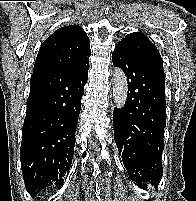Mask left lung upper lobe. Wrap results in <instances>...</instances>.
I'll return each instance as SVG.
<instances>
[{
    "label": "left lung upper lobe",
    "instance_id": "1",
    "mask_svg": "<svg viewBox=\"0 0 196 201\" xmlns=\"http://www.w3.org/2000/svg\"><path fill=\"white\" fill-rule=\"evenodd\" d=\"M132 56L141 62L163 69V63L156 46L150 42L149 38L140 32L127 34L124 39L118 42Z\"/></svg>",
    "mask_w": 196,
    "mask_h": 201
}]
</instances>
